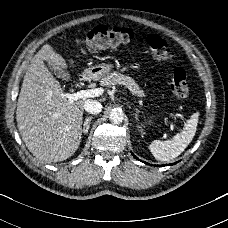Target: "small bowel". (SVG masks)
<instances>
[{
  "instance_id": "small-bowel-1",
  "label": "small bowel",
  "mask_w": 228,
  "mask_h": 228,
  "mask_svg": "<svg viewBox=\"0 0 228 228\" xmlns=\"http://www.w3.org/2000/svg\"><path fill=\"white\" fill-rule=\"evenodd\" d=\"M139 41L144 49H147L149 47V44L147 43V39L144 36H141L139 38Z\"/></svg>"
}]
</instances>
